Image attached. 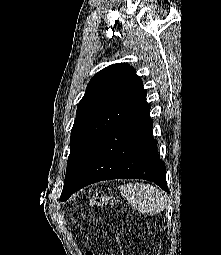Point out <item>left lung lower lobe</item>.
Listing matches in <instances>:
<instances>
[{
  "label": "left lung lower lobe",
  "instance_id": "1",
  "mask_svg": "<svg viewBox=\"0 0 221 255\" xmlns=\"http://www.w3.org/2000/svg\"><path fill=\"white\" fill-rule=\"evenodd\" d=\"M153 121L146 98L122 118L97 147L72 193L98 181L138 178L168 191L166 169L152 137Z\"/></svg>",
  "mask_w": 221,
  "mask_h": 255
}]
</instances>
